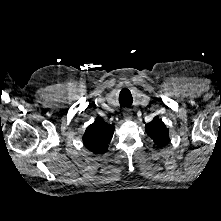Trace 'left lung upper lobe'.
<instances>
[{
	"label": "left lung upper lobe",
	"mask_w": 221,
	"mask_h": 221,
	"mask_svg": "<svg viewBox=\"0 0 221 221\" xmlns=\"http://www.w3.org/2000/svg\"><path fill=\"white\" fill-rule=\"evenodd\" d=\"M145 130L158 146L162 147L168 143V129L158 117H155L150 123L146 124Z\"/></svg>",
	"instance_id": "1"
}]
</instances>
